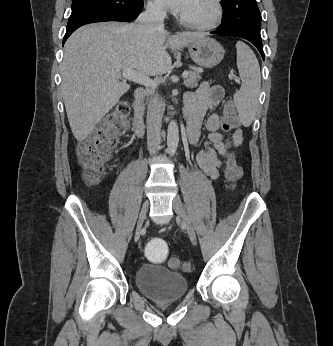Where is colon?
Returning a JSON list of instances; mask_svg holds the SVG:
<instances>
[{
  "instance_id": "1",
  "label": "colon",
  "mask_w": 333,
  "mask_h": 346,
  "mask_svg": "<svg viewBox=\"0 0 333 346\" xmlns=\"http://www.w3.org/2000/svg\"><path fill=\"white\" fill-rule=\"evenodd\" d=\"M130 110L128 102H119L106 115L92 135L77 146L78 160L88 183H96L104 174L111 153L117 145L118 136L127 127ZM238 124L239 118L236 109L232 103H228L224 109L223 127L230 131L235 129ZM224 175L231 184H235L241 178L242 170L233 154L227 157ZM148 241L149 243L144 244L143 249L147 251L146 259L150 260L151 264H164L165 260H169L168 244L162 240L161 235H149ZM168 265L172 269H189L188 265H182L176 258L170 259Z\"/></svg>"
}]
</instances>
